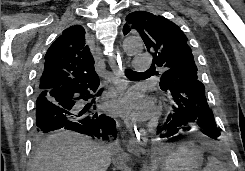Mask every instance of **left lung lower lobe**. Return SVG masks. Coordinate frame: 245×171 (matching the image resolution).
<instances>
[{"mask_svg":"<svg viewBox=\"0 0 245 171\" xmlns=\"http://www.w3.org/2000/svg\"><path fill=\"white\" fill-rule=\"evenodd\" d=\"M165 92L172 95L177 106L170 113L164 126L158 128L160 137L176 138L182 131L195 124L206 136L217 140L220 130L205 96L203 83L197 79L181 78L176 80Z\"/></svg>","mask_w":245,"mask_h":171,"instance_id":"0a47b994","label":"left lung lower lobe"}]
</instances>
